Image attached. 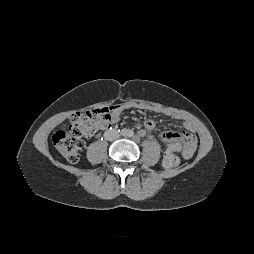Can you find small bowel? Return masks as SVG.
<instances>
[{
    "mask_svg": "<svg viewBox=\"0 0 254 254\" xmlns=\"http://www.w3.org/2000/svg\"><path fill=\"white\" fill-rule=\"evenodd\" d=\"M130 107H132V105L128 103L111 106L110 118L105 128H109L113 124L117 123L120 120L121 112L124 109L130 108ZM149 109L155 112L162 113L174 119L180 118L179 115L170 111H163L156 108H152V109L149 108ZM144 127L147 130H153L155 128V122L152 119H146L144 121ZM183 127L184 129L181 132H174V131L162 132L161 139L164 143H166L164 157L174 153H180V156L183 159H189L193 156L197 146V138L195 134L193 133L191 124L189 122L184 121Z\"/></svg>",
    "mask_w": 254,
    "mask_h": 254,
    "instance_id": "obj_1",
    "label": "small bowel"
}]
</instances>
